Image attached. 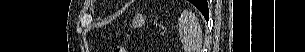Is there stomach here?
I'll return each mask as SVG.
<instances>
[{"mask_svg":"<svg viewBox=\"0 0 305 52\" xmlns=\"http://www.w3.org/2000/svg\"><path fill=\"white\" fill-rule=\"evenodd\" d=\"M145 22V18L144 16H142L141 14H137L135 15V17L133 18V25L134 26H142Z\"/></svg>","mask_w":305,"mask_h":52,"instance_id":"obj_1","label":"stomach"}]
</instances>
